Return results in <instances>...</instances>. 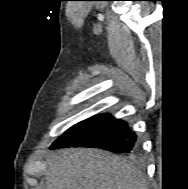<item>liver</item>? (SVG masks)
Wrapping results in <instances>:
<instances>
[{
	"instance_id": "liver-1",
	"label": "liver",
	"mask_w": 188,
	"mask_h": 189,
	"mask_svg": "<svg viewBox=\"0 0 188 189\" xmlns=\"http://www.w3.org/2000/svg\"><path fill=\"white\" fill-rule=\"evenodd\" d=\"M42 189H148L140 170L98 149L55 151L47 160Z\"/></svg>"
}]
</instances>
